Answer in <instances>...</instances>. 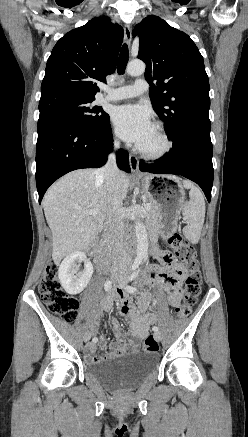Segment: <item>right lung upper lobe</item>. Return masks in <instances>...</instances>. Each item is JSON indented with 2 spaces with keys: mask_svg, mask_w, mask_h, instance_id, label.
<instances>
[{
  "mask_svg": "<svg viewBox=\"0 0 248 437\" xmlns=\"http://www.w3.org/2000/svg\"><path fill=\"white\" fill-rule=\"evenodd\" d=\"M123 29L107 17L93 18L54 46L47 61L41 97L61 92L95 99L97 82L114 73Z\"/></svg>",
  "mask_w": 248,
  "mask_h": 437,
  "instance_id": "right-lung-upper-lobe-1",
  "label": "right lung upper lobe"
}]
</instances>
